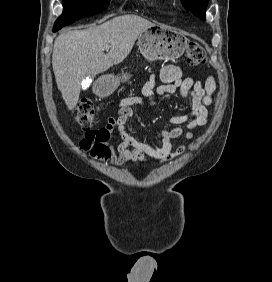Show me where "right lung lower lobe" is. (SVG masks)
Segmentation results:
<instances>
[{"label": "right lung lower lobe", "instance_id": "right-lung-lower-lobe-1", "mask_svg": "<svg viewBox=\"0 0 272 282\" xmlns=\"http://www.w3.org/2000/svg\"><path fill=\"white\" fill-rule=\"evenodd\" d=\"M64 26H61V27H53V32H56L58 30H60L61 28H63Z\"/></svg>", "mask_w": 272, "mask_h": 282}]
</instances>
